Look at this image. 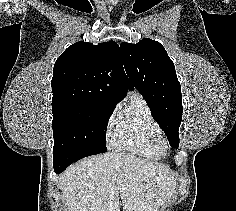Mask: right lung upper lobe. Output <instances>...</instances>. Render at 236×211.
Masks as SVG:
<instances>
[{
	"mask_svg": "<svg viewBox=\"0 0 236 211\" xmlns=\"http://www.w3.org/2000/svg\"><path fill=\"white\" fill-rule=\"evenodd\" d=\"M51 86L52 108L70 103L116 106L131 88L119 45L112 41L69 46L54 64Z\"/></svg>",
	"mask_w": 236,
	"mask_h": 211,
	"instance_id": "obj_1",
	"label": "right lung upper lobe"
}]
</instances>
